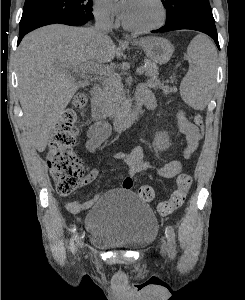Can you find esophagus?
I'll return each instance as SVG.
<instances>
[{
	"mask_svg": "<svg viewBox=\"0 0 245 300\" xmlns=\"http://www.w3.org/2000/svg\"><path fill=\"white\" fill-rule=\"evenodd\" d=\"M123 38L126 40H130V37L128 35H124Z\"/></svg>",
	"mask_w": 245,
	"mask_h": 300,
	"instance_id": "34e87169",
	"label": "esophagus"
}]
</instances>
